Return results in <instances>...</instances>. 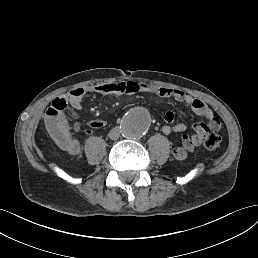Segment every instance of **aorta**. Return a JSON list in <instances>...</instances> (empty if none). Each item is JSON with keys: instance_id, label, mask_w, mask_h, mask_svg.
I'll list each match as a JSON object with an SVG mask.
<instances>
[{"instance_id": "1", "label": "aorta", "mask_w": 258, "mask_h": 258, "mask_svg": "<svg viewBox=\"0 0 258 258\" xmlns=\"http://www.w3.org/2000/svg\"><path fill=\"white\" fill-rule=\"evenodd\" d=\"M151 124V116L147 109L136 107L124 115L121 120L122 135L129 139L142 137Z\"/></svg>"}]
</instances>
